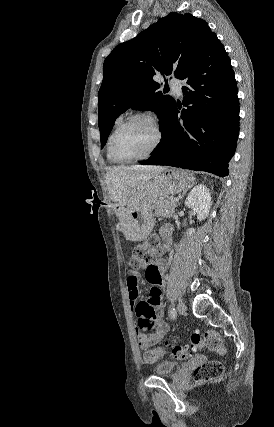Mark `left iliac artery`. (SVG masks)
Masks as SVG:
<instances>
[{
	"mask_svg": "<svg viewBox=\"0 0 274 427\" xmlns=\"http://www.w3.org/2000/svg\"><path fill=\"white\" fill-rule=\"evenodd\" d=\"M176 315H177V313H176L175 308L171 307V309H170V317H171V319L175 320Z\"/></svg>",
	"mask_w": 274,
	"mask_h": 427,
	"instance_id": "1",
	"label": "left iliac artery"
}]
</instances>
